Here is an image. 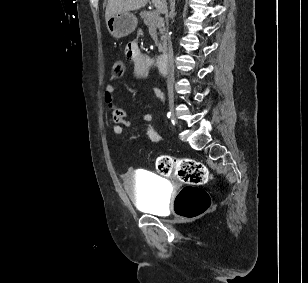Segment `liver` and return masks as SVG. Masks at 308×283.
Here are the masks:
<instances>
[{"mask_svg":"<svg viewBox=\"0 0 308 283\" xmlns=\"http://www.w3.org/2000/svg\"><path fill=\"white\" fill-rule=\"evenodd\" d=\"M148 1L149 0H108L105 19L107 21L116 13L138 10L144 7ZM152 3L163 11L164 6L166 5V0H152Z\"/></svg>","mask_w":308,"mask_h":283,"instance_id":"obj_1","label":"liver"}]
</instances>
